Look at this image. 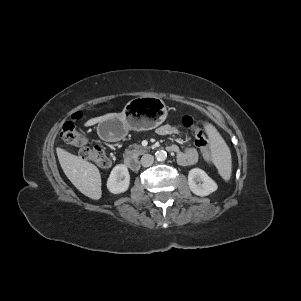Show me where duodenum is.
<instances>
[{"label":"duodenum","instance_id":"duodenum-1","mask_svg":"<svg viewBox=\"0 0 301 301\" xmlns=\"http://www.w3.org/2000/svg\"><path fill=\"white\" fill-rule=\"evenodd\" d=\"M167 149L171 152H175V148L173 146H168ZM124 164L127 168L131 170H136L139 166L138 161L134 158L125 159Z\"/></svg>","mask_w":301,"mask_h":301}]
</instances>
